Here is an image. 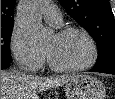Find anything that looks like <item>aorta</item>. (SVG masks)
Instances as JSON below:
<instances>
[{"mask_svg": "<svg viewBox=\"0 0 115 99\" xmlns=\"http://www.w3.org/2000/svg\"><path fill=\"white\" fill-rule=\"evenodd\" d=\"M46 3V0H27L18 7L17 21L32 47L42 46L48 39V30L41 23Z\"/></svg>", "mask_w": 115, "mask_h": 99, "instance_id": "obj_1", "label": "aorta"}]
</instances>
